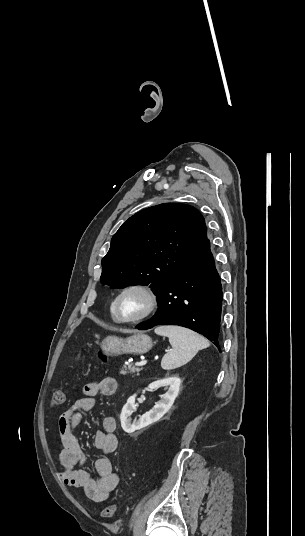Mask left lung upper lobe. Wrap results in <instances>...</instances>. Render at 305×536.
I'll return each mask as SVG.
<instances>
[{"label":"left lung upper lobe","instance_id":"obj_1","mask_svg":"<svg viewBox=\"0 0 305 536\" xmlns=\"http://www.w3.org/2000/svg\"><path fill=\"white\" fill-rule=\"evenodd\" d=\"M204 217L193 206L164 203L130 217L102 259L101 283L112 288L148 285L158 292L205 247Z\"/></svg>","mask_w":305,"mask_h":536}]
</instances>
